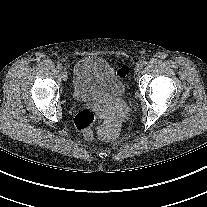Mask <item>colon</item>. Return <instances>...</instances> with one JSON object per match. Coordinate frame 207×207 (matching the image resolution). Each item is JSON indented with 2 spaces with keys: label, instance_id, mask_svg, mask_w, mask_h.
Returning <instances> with one entry per match:
<instances>
[{
  "label": "colon",
  "instance_id": "obj_1",
  "mask_svg": "<svg viewBox=\"0 0 207 207\" xmlns=\"http://www.w3.org/2000/svg\"><path fill=\"white\" fill-rule=\"evenodd\" d=\"M117 72L125 78L129 74V68L122 65L118 68ZM96 122L97 118L95 114L88 109L79 111L74 119L75 126L83 132V135L87 140H91L93 138V127Z\"/></svg>",
  "mask_w": 207,
  "mask_h": 207
}]
</instances>
